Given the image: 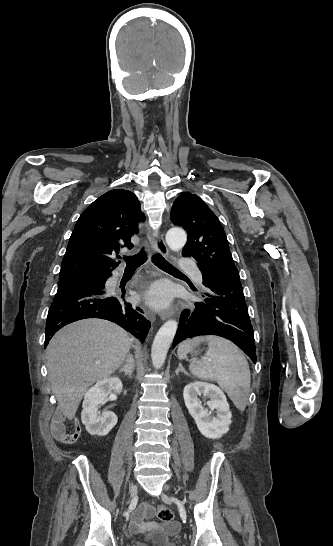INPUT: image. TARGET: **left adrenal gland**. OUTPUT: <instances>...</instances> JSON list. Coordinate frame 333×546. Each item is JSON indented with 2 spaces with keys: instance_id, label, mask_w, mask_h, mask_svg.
Returning a JSON list of instances; mask_svg holds the SVG:
<instances>
[{
  "instance_id": "1",
  "label": "left adrenal gland",
  "mask_w": 333,
  "mask_h": 546,
  "mask_svg": "<svg viewBox=\"0 0 333 546\" xmlns=\"http://www.w3.org/2000/svg\"><path fill=\"white\" fill-rule=\"evenodd\" d=\"M179 372H184L185 374L188 375V373L184 370V368L182 367L181 363H179V367L177 368L176 370V375L178 376Z\"/></svg>"
}]
</instances>
